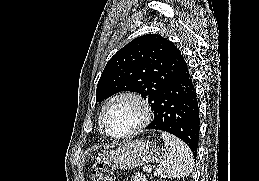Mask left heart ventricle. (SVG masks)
I'll list each match as a JSON object with an SVG mask.
<instances>
[{"label": "left heart ventricle", "mask_w": 259, "mask_h": 181, "mask_svg": "<svg viewBox=\"0 0 259 181\" xmlns=\"http://www.w3.org/2000/svg\"><path fill=\"white\" fill-rule=\"evenodd\" d=\"M140 120V110L131 100L113 103L105 115V126L112 134H122L134 128Z\"/></svg>", "instance_id": "left-heart-ventricle-1"}]
</instances>
